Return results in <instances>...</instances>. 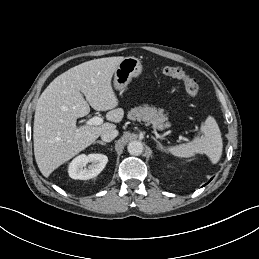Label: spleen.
<instances>
[{"mask_svg": "<svg viewBox=\"0 0 259 259\" xmlns=\"http://www.w3.org/2000/svg\"><path fill=\"white\" fill-rule=\"evenodd\" d=\"M204 136L196 137L193 141L172 146L167 151L179 158H189L195 154H206L210 161L217 163L222 154V138L218 125L211 117L207 118L201 127Z\"/></svg>", "mask_w": 259, "mask_h": 259, "instance_id": "obj_1", "label": "spleen"}]
</instances>
